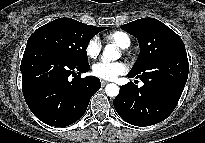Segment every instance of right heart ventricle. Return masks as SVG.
Listing matches in <instances>:
<instances>
[{
    "mask_svg": "<svg viewBox=\"0 0 205 143\" xmlns=\"http://www.w3.org/2000/svg\"><path fill=\"white\" fill-rule=\"evenodd\" d=\"M105 37L107 40L114 42L123 49H126L131 45V39L124 31H113L108 33Z\"/></svg>",
    "mask_w": 205,
    "mask_h": 143,
    "instance_id": "obj_1",
    "label": "right heart ventricle"
}]
</instances>
